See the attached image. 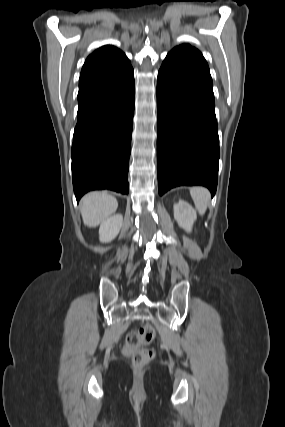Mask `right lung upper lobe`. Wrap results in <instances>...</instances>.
Segmentation results:
<instances>
[{"instance_id":"cb5924a9","label":"right lung upper lobe","mask_w":285,"mask_h":427,"mask_svg":"<svg viewBox=\"0 0 285 427\" xmlns=\"http://www.w3.org/2000/svg\"><path fill=\"white\" fill-rule=\"evenodd\" d=\"M131 67L126 55L112 45H105L86 59L79 79V92L112 80Z\"/></svg>"}]
</instances>
